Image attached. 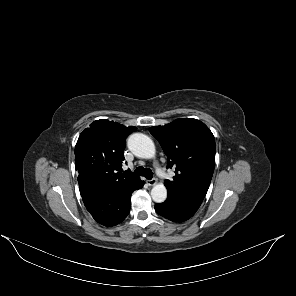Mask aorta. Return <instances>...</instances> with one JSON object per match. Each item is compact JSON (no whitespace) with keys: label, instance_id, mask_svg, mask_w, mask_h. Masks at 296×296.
I'll return each instance as SVG.
<instances>
[{"label":"aorta","instance_id":"762f6f07","mask_svg":"<svg viewBox=\"0 0 296 296\" xmlns=\"http://www.w3.org/2000/svg\"><path fill=\"white\" fill-rule=\"evenodd\" d=\"M128 147L132 153L140 158L151 159L155 157V145L150 137L143 133H133L128 138ZM151 197L154 202L162 203L167 198V189L164 184L154 185L151 190Z\"/></svg>","mask_w":296,"mask_h":296}]
</instances>
